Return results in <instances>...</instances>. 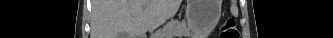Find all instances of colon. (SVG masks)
Listing matches in <instances>:
<instances>
[{"mask_svg":"<svg viewBox=\"0 0 333 38\" xmlns=\"http://www.w3.org/2000/svg\"><path fill=\"white\" fill-rule=\"evenodd\" d=\"M221 38H239V31L234 19H228L221 29Z\"/></svg>","mask_w":333,"mask_h":38,"instance_id":"obj_1","label":"colon"}]
</instances>
